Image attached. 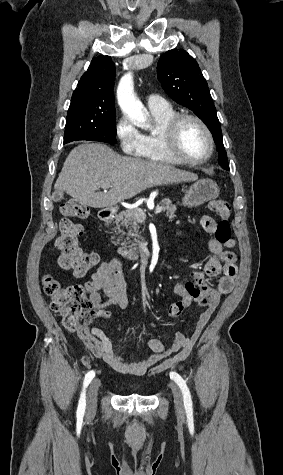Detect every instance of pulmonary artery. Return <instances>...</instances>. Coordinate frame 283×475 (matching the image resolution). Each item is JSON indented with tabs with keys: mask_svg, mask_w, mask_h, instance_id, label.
I'll return each mask as SVG.
<instances>
[{
	"mask_svg": "<svg viewBox=\"0 0 283 475\" xmlns=\"http://www.w3.org/2000/svg\"><path fill=\"white\" fill-rule=\"evenodd\" d=\"M119 90H132V89H119ZM146 103L149 110L162 109L169 107V103L159 95H149L146 98Z\"/></svg>",
	"mask_w": 283,
	"mask_h": 475,
	"instance_id": "pulmonary-artery-1",
	"label": "pulmonary artery"
}]
</instances>
